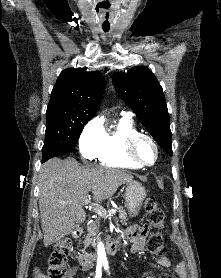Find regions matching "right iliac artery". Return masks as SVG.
Instances as JSON below:
<instances>
[{
    "label": "right iliac artery",
    "mask_w": 221,
    "mask_h": 278,
    "mask_svg": "<svg viewBox=\"0 0 221 278\" xmlns=\"http://www.w3.org/2000/svg\"><path fill=\"white\" fill-rule=\"evenodd\" d=\"M102 271H101V264L97 265L96 276L95 278H101Z\"/></svg>",
    "instance_id": "right-iliac-artery-1"
}]
</instances>
